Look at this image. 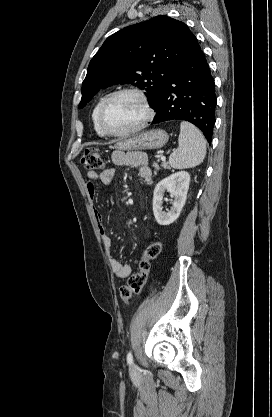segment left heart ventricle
<instances>
[{"mask_svg": "<svg viewBox=\"0 0 272 417\" xmlns=\"http://www.w3.org/2000/svg\"><path fill=\"white\" fill-rule=\"evenodd\" d=\"M144 116V108L137 97L121 95L108 105L104 125L111 132H122L137 125Z\"/></svg>", "mask_w": 272, "mask_h": 417, "instance_id": "b2bd125f", "label": "left heart ventricle"}]
</instances>
